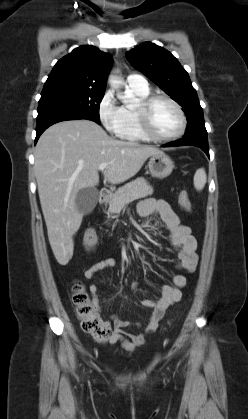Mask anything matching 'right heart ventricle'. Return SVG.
I'll return each mask as SVG.
<instances>
[{"mask_svg": "<svg viewBox=\"0 0 248 419\" xmlns=\"http://www.w3.org/2000/svg\"><path fill=\"white\" fill-rule=\"evenodd\" d=\"M131 92L136 95L140 100L149 96V89L138 90L129 88ZM124 110V125L120 134V137L128 141H147V139L141 132L135 109L130 107H123Z\"/></svg>", "mask_w": 248, "mask_h": 419, "instance_id": "1", "label": "right heart ventricle"}]
</instances>
